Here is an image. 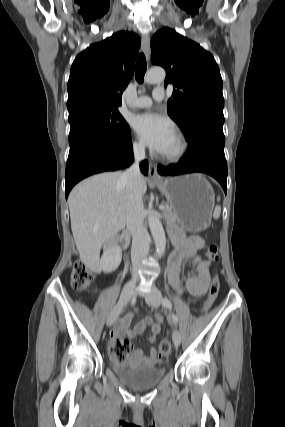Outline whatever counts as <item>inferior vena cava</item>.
I'll return each instance as SVG.
<instances>
[{
    "label": "inferior vena cava",
    "instance_id": "1",
    "mask_svg": "<svg viewBox=\"0 0 285 427\" xmlns=\"http://www.w3.org/2000/svg\"><path fill=\"white\" fill-rule=\"evenodd\" d=\"M134 163L122 174L126 183L127 213L126 226L132 235L131 260L133 274L149 253L150 237L143 225V202L141 189V172L139 162L145 158V148L142 145L134 146Z\"/></svg>",
    "mask_w": 285,
    "mask_h": 427
}]
</instances>
